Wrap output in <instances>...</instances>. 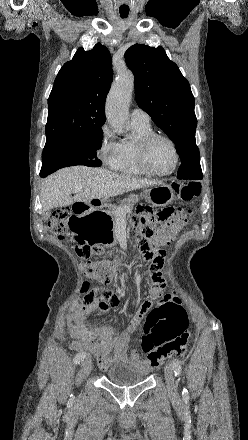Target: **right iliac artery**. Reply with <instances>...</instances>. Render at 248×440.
Instances as JSON below:
<instances>
[{
	"label": "right iliac artery",
	"instance_id": "obj_1",
	"mask_svg": "<svg viewBox=\"0 0 248 440\" xmlns=\"http://www.w3.org/2000/svg\"><path fill=\"white\" fill-rule=\"evenodd\" d=\"M87 356L86 352H80L74 357V363L79 364L80 361H82Z\"/></svg>",
	"mask_w": 248,
	"mask_h": 440
}]
</instances>
